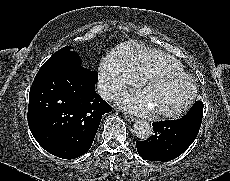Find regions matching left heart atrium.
Returning <instances> with one entry per match:
<instances>
[{
    "instance_id": "39dd6f15",
    "label": "left heart atrium",
    "mask_w": 230,
    "mask_h": 181,
    "mask_svg": "<svg viewBox=\"0 0 230 181\" xmlns=\"http://www.w3.org/2000/svg\"><path fill=\"white\" fill-rule=\"evenodd\" d=\"M121 107L139 114L151 113L154 108L149 104L143 92H129L122 96L120 100Z\"/></svg>"
}]
</instances>
